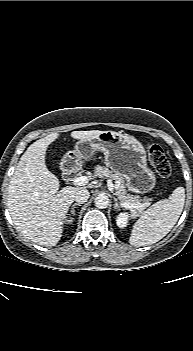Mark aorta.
Returning <instances> with one entry per match:
<instances>
[{
  "label": "aorta",
  "mask_w": 193,
  "mask_h": 351,
  "mask_svg": "<svg viewBox=\"0 0 193 351\" xmlns=\"http://www.w3.org/2000/svg\"><path fill=\"white\" fill-rule=\"evenodd\" d=\"M95 206L99 209H105L109 205V198L105 194H99L95 197Z\"/></svg>",
  "instance_id": "762f6f07"
}]
</instances>
